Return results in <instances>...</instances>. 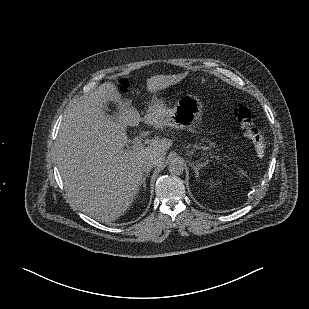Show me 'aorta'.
Instances as JSON below:
<instances>
[{
  "instance_id": "obj_1",
  "label": "aorta",
  "mask_w": 309,
  "mask_h": 309,
  "mask_svg": "<svg viewBox=\"0 0 309 309\" xmlns=\"http://www.w3.org/2000/svg\"><path fill=\"white\" fill-rule=\"evenodd\" d=\"M185 166L184 162L180 158H175L171 161L168 166L169 173L174 176L182 175L184 172Z\"/></svg>"
}]
</instances>
